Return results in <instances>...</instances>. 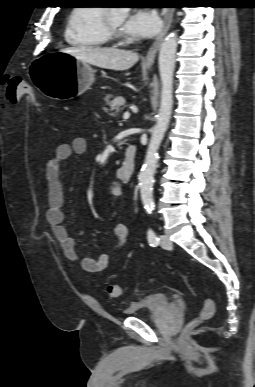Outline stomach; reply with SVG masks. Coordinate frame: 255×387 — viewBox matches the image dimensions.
Here are the masks:
<instances>
[{"mask_svg": "<svg viewBox=\"0 0 255 387\" xmlns=\"http://www.w3.org/2000/svg\"><path fill=\"white\" fill-rule=\"evenodd\" d=\"M43 55L32 60L27 82H35L46 99H71L87 90L95 80V70L88 63L69 53L59 52L58 46H43ZM149 67V66H147Z\"/></svg>", "mask_w": 255, "mask_h": 387, "instance_id": "stomach-1", "label": "stomach"}]
</instances>
